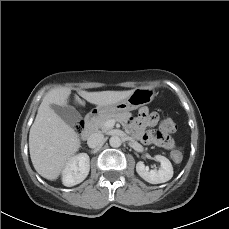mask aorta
I'll list each match as a JSON object with an SVG mask.
<instances>
[{"label":"aorta","mask_w":229,"mask_h":229,"mask_svg":"<svg viewBox=\"0 0 229 229\" xmlns=\"http://www.w3.org/2000/svg\"><path fill=\"white\" fill-rule=\"evenodd\" d=\"M109 144L111 147L117 148V147L121 146L122 141L118 136H112L109 139Z\"/></svg>","instance_id":"obj_1"}]
</instances>
